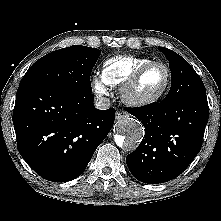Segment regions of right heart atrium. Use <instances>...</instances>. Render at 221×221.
<instances>
[{"mask_svg":"<svg viewBox=\"0 0 221 221\" xmlns=\"http://www.w3.org/2000/svg\"><path fill=\"white\" fill-rule=\"evenodd\" d=\"M105 85L106 84L101 77L94 76L92 78L93 90L98 97H102L107 94V88Z\"/></svg>","mask_w":221,"mask_h":221,"instance_id":"right-heart-atrium-1","label":"right heart atrium"}]
</instances>
